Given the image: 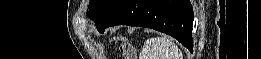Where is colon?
I'll return each mask as SVG.
<instances>
[{"instance_id":"1","label":"colon","mask_w":261,"mask_h":59,"mask_svg":"<svg viewBox=\"0 0 261 59\" xmlns=\"http://www.w3.org/2000/svg\"><path fill=\"white\" fill-rule=\"evenodd\" d=\"M120 51L126 59L135 58L133 48L128 42H122L120 44Z\"/></svg>"}]
</instances>
